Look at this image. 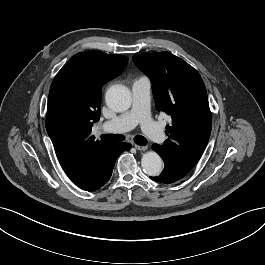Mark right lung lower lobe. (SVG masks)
I'll list each match as a JSON object with an SVG mask.
<instances>
[{
	"instance_id": "1",
	"label": "right lung lower lobe",
	"mask_w": 265,
	"mask_h": 265,
	"mask_svg": "<svg viewBox=\"0 0 265 265\" xmlns=\"http://www.w3.org/2000/svg\"><path fill=\"white\" fill-rule=\"evenodd\" d=\"M130 148L128 143L97 147L76 168L66 173L78 187L95 191L110 179L117 157Z\"/></svg>"
}]
</instances>
